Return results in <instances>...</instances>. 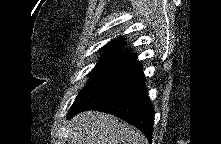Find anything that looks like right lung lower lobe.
<instances>
[{
  "mask_svg": "<svg viewBox=\"0 0 221 144\" xmlns=\"http://www.w3.org/2000/svg\"><path fill=\"white\" fill-rule=\"evenodd\" d=\"M87 110L102 111L123 119L138 128L151 142L155 113L148 97L141 65L86 108L68 118Z\"/></svg>",
  "mask_w": 221,
  "mask_h": 144,
  "instance_id": "1",
  "label": "right lung lower lobe"
}]
</instances>
